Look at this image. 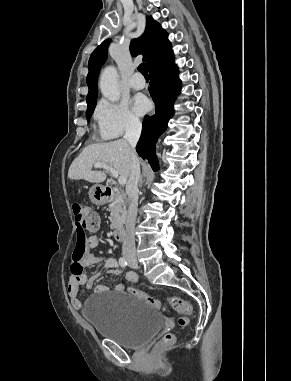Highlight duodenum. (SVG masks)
I'll use <instances>...</instances> for the list:
<instances>
[{
	"mask_svg": "<svg viewBox=\"0 0 291 381\" xmlns=\"http://www.w3.org/2000/svg\"><path fill=\"white\" fill-rule=\"evenodd\" d=\"M102 195H103L104 200L106 202H110L114 199L116 192L111 187H104L102 189ZM125 236H126V230H125L124 225H122V224L116 225L114 228L115 240L118 242H123L125 240Z\"/></svg>",
	"mask_w": 291,
	"mask_h": 381,
	"instance_id": "410a0bca",
	"label": "duodenum"
}]
</instances>
